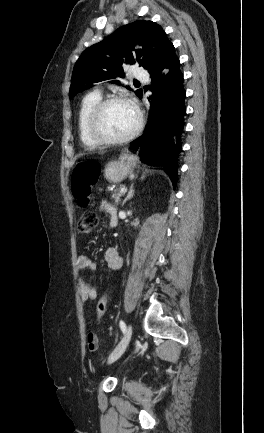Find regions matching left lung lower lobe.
Returning <instances> with one entry per match:
<instances>
[{"mask_svg":"<svg viewBox=\"0 0 264 433\" xmlns=\"http://www.w3.org/2000/svg\"><path fill=\"white\" fill-rule=\"evenodd\" d=\"M149 73L153 94L148 98L151 106L148 125L144 134L130 144L132 149L140 150L142 161L162 166L176 186L186 91L175 51Z\"/></svg>","mask_w":264,"mask_h":433,"instance_id":"0a47b994","label":"left lung lower lobe"}]
</instances>
